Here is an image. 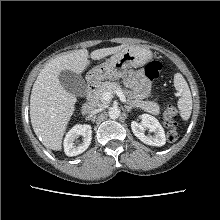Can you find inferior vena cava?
<instances>
[{"mask_svg":"<svg viewBox=\"0 0 220 220\" xmlns=\"http://www.w3.org/2000/svg\"><path fill=\"white\" fill-rule=\"evenodd\" d=\"M101 110H102V109H100V108L91 110V111L89 112L88 117H93L95 114L101 112Z\"/></svg>","mask_w":220,"mask_h":220,"instance_id":"inferior-vena-cava-1","label":"inferior vena cava"}]
</instances>
